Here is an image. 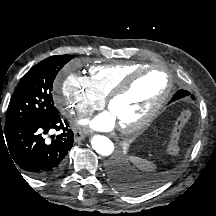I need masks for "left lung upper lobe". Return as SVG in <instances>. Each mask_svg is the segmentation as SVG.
<instances>
[{
  "mask_svg": "<svg viewBox=\"0 0 216 216\" xmlns=\"http://www.w3.org/2000/svg\"><path fill=\"white\" fill-rule=\"evenodd\" d=\"M181 92H185L186 94H188L186 91H184V90H180Z\"/></svg>",
  "mask_w": 216,
  "mask_h": 216,
  "instance_id": "obj_1",
  "label": "left lung upper lobe"
}]
</instances>
